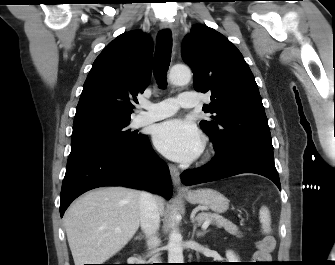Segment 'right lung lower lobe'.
Masks as SVG:
<instances>
[{
  "label": "right lung lower lobe",
  "instance_id": "98d812e1",
  "mask_svg": "<svg viewBox=\"0 0 335 265\" xmlns=\"http://www.w3.org/2000/svg\"><path fill=\"white\" fill-rule=\"evenodd\" d=\"M103 186L145 189L170 199L169 168L154 153L150 141L129 148H88L70 153L60 195V215L88 190Z\"/></svg>",
  "mask_w": 335,
  "mask_h": 265
}]
</instances>
